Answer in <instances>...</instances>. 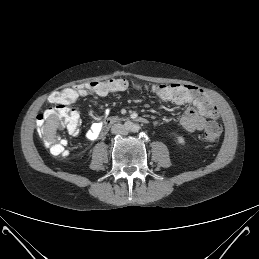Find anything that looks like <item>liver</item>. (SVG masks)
I'll use <instances>...</instances> for the list:
<instances>
[{"label":"liver","mask_w":259,"mask_h":259,"mask_svg":"<svg viewBox=\"0 0 259 259\" xmlns=\"http://www.w3.org/2000/svg\"><path fill=\"white\" fill-rule=\"evenodd\" d=\"M60 129V122L56 115H52L46 120L42 134L47 141H52L56 137L57 130Z\"/></svg>","instance_id":"1"}]
</instances>
